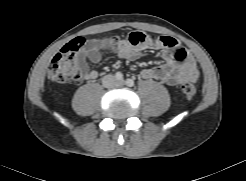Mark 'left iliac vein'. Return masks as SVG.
Masks as SVG:
<instances>
[{
    "instance_id": "obj_1",
    "label": "left iliac vein",
    "mask_w": 246,
    "mask_h": 181,
    "mask_svg": "<svg viewBox=\"0 0 246 181\" xmlns=\"http://www.w3.org/2000/svg\"><path fill=\"white\" fill-rule=\"evenodd\" d=\"M120 84L123 85L124 84V81H120Z\"/></svg>"
}]
</instances>
